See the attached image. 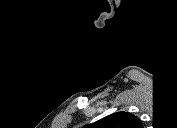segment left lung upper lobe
Instances as JSON below:
<instances>
[{
  "instance_id": "5c2ea615",
  "label": "left lung upper lobe",
  "mask_w": 177,
  "mask_h": 128,
  "mask_svg": "<svg viewBox=\"0 0 177 128\" xmlns=\"http://www.w3.org/2000/svg\"><path fill=\"white\" fill-rule=\"evenodd\" d=\"M100 128H142V123L136 116L127 112H117L104 117L97 123Z\"/></svg>"
}]
</instances>
